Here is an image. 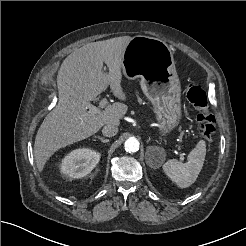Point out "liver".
Masks as SVG:
<instances>
[{"label":"liver","instance_id":"6515ba94","mask_svg":"<svg viewBox=\"0 0 246 246\" xmlns=\"http://www.w3.org/2000/svg\"><path fill=\"white\" fill-rule=\"evenodd\" d=\"M131 39L122 36L88 43L65 58L57 75L58 105L47 114L35 138L34 159L40 172L60 148L90 137L104 125L119 126L126 104L115 102L97 114L87 111L86 105L109 85L115 97L126 100L121 69Z\"/></svg>","mask_w":246,"mask_h":246}]
</instances>
